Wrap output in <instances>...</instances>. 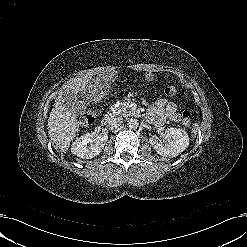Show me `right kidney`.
<instances>
[{"label":"right kidney","instance_id":"obj_1","mask_svg":"<svg viewBox=\"0 0 247 247\" xmlns=\"http://www.w3.org/2000/svg\"><path fill=\"white\" fill-rule=\"evenodd\" d=\"M107 140V134L86 133L72 143L71 152L79 158L91 159L101 153Z\"/></svg>","mask_w":247,"mask_h":247}]
</instances>
